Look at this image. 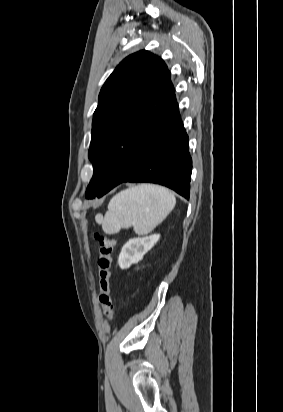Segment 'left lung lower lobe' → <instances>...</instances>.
<instances>
[{
    "mask_svg": "<svg viewBox=\"0 0 283 412\" xmlns=\"http://www.w3.org/2000/svg\"><path fill=\"white\" fill-rule=\"evenodd\" d=\"M93 170L91 180L100 183L98 198L123 182H151L189 199L192 160L177 102L157 125L137 163L124 154L104 150Z\"/></svg>",
    "mask_w": 283,
    "mask_h": 412,
    "instance_id": "obj_1",
    "label": "left lung lower lobe"
}]
</instances>
